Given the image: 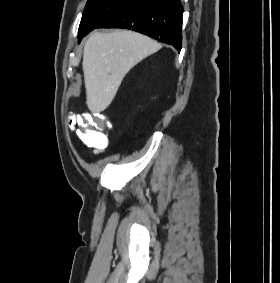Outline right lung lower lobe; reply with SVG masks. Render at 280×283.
<instances>
[{
	"label": "right lung lower lobe",
	"mask_w": 280,
	"mask_h": 283,
	"mask_svg": "<svg viewBox=\"0 0 280 283\" xmlns=\"http://www.w3.org/2000/svg\"><path fill=\"white\" fill-rule=\"evenodd\" d=\"M180 0H136L103 20L96 28H124L148 35L181 50Z\"/></svg>",
	"instance_id": "right-lung-lower-lobe-1"
}]
</instances>
